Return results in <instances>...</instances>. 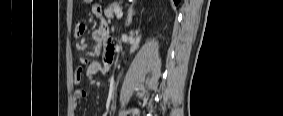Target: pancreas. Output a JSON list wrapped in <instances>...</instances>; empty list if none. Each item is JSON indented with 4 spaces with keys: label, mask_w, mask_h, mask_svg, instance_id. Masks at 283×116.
<instances>
[{
    "label": "pancreas",
    "mask_w": 283,
    "mask_h": 116,
    "mask_svg": "<svg viewBox=\"0 0 283 116\" xmlns=\"http://www.w3.org/2000/svg\"><path fill=\"white\" fill-rule=\"evenodd\" d=\"M118 10H120V4L116 2L108 6L104 14L108 19H112Z\"/></svg>",
    "instance_id": "pancreas-1"
}]
</instances>
